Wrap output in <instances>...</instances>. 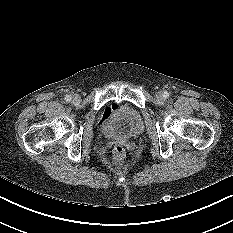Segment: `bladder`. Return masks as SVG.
<instances>
[{
  "label": "bladder",
  "instance_id": "1",
  "mask_svg": "<svg viewBox=\"0 0 233 233\" xmlns=\"http://www.w3.org/2000/svg\"><path fill=\"white\" fill-rule=\"evenodd\" d=\"M104 136L111 139L136 137L144 131V122L140 113L131 106H119L110 117L100 125Z\"/></svg>",
  "mask_w": 233,
  "mask_h": 233
}]
</instances>
